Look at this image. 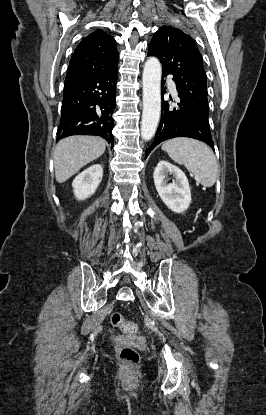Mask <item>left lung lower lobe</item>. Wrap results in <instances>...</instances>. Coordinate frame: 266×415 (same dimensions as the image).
Returning a JSON list of instances; mask_svg holds the SVG:
<instances>
[{
	"instance_id": "left-lung-lower-lobe-1",
	"label": "left lung lower lobe",
	"mask_w": 266,
	"mask_h": 415,
	"mask_svg": "<svg viewBox=\"0 0 266 415\" xmlns=\"http://www.w3.org/2000/svg\"><path fill=\"white\" fill-rule=\"evenodd\" d=\"M166 75L162 74V83ZM163 94V88L161 90ZM178 107L169 108L168 102L162 100L161 121L150 147L146 149L145 158L159 143L175 137H190L205 142L214 150L208 118L197 111L185 98L178 95Z\"/></svg>"
}]
</instances>
